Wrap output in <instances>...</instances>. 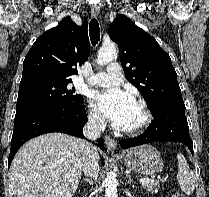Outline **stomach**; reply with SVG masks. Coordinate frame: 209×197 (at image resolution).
<instances>
[{
	"mask_svg": "<svg viewBox=\"0 0 209 197\" xmlns=\"http://www.w3.org/2000/svg\"><path fill=\"white\" fill-rule=\"evenodd\" d=\"M124 164L129 170L144 175L156 174L164 166L160 153L151 145L130 149L125 155Z\"/></svg>",
	"mask_w": 209,
	"mask_h": 197,
	"instance_id": "obj_1",
	"label": "stomach"
}]
</instances>
